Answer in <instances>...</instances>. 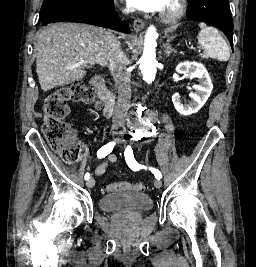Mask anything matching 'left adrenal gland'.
Wrapping results in <instances>:
<instances>
[{
	"label": "left adrenal gland",
	"mask_w": 256,
	"mask_h": 267,
	"mask_svg": "<svg viewBox=\"0 0 256 267\" xmlns=\"http://www.w3.org/2000/svg\"><path fill=\"white\" fill-rule=\"evenodd\" d=\"M164 48H165L164 52H165L166 56H169V54H172V52H173V54H177L176 50H174V48H172V46L170 44V40H168V42H167V44H165Z\"/></svg>",
	"instance_id": "obj_1"
}]
</instances>
